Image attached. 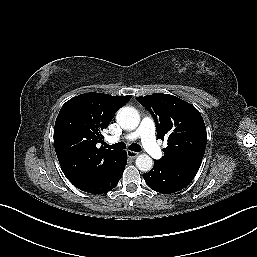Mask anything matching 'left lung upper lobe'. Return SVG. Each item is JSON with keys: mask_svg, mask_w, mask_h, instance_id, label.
Returning <instances> with one entry per match:
<instances>
[{"mask_svg": "<svg viewBox=\"0 0 257 257\" xmlns=\"http://www.w3.org/2000/svg\"><path fill=\"white\" fill-rule=\"evenodd\" d=\"M153 116L159 139H167L160 161L198 172L207 143L200 112L188 102L169 94L137 97Z\"/></svg>", "mask_w": 257, "mask_h": 257, "instance_id": "left-lung-upper-lobe-1", "label": "left lung upper lobe"}]
</instances>
